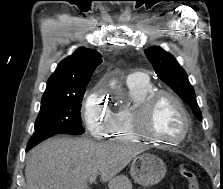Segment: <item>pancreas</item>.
<instances>
[{"mask_svg": "<svg viewBox=\"0 0 223 189\" xmlns=\"http://www.w3.org/2000/svg\"><path fill=\"white\" fill-rule=\"evenodd\" d=\"M119 182H124V185H123V187H125V188H131V184H130V182L128 181V179L126 178V177H124V176H120L118 179H117V183H119Z\"/></svg>", "mask_w": 223, "mask_h": 189, "instance_id": "pancreas-1", "label": "pancreas"}]
</instances>
